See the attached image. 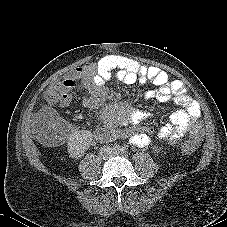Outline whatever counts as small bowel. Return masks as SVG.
Segmentation results:
<instances>
[{"instance_id":"c3829d8e","label":"small bowel","mask_w":227,"mask_h":227,"mask_svg":"<svg viewBox=\"0 0 227 227\" xmlns=\"http://www.w3.org/2000/svg\"><path fill=\"white\" fill-rule=\"evenodd\" d=\"M111 80H117L127 85L153 84L154 89L146 92L148 98L160 102L172 101L180 106L173 113L171 122L161 127L156 136L174 146L187 133L191 123L200 115V110L188 96L185 85L180 80H171L169 75L156 66L143 65L134 59L109 55L98 62L77 68L66 76L61 82L63 107L72 102L71 91L77 88L86 89L90 96L83 100L87 108L95 107L102 94L103 87ZM55 118V114H50ZM147 118V113L138 112L130 118V122L139 123ZM153 132L150 130H137L130 134V142L137 147H146L151 143Z\"/></svg>"}]
</instances>
